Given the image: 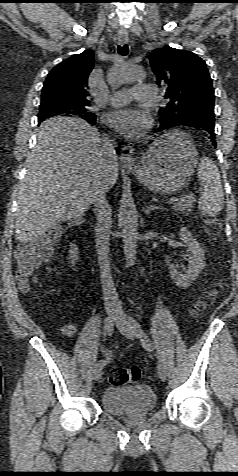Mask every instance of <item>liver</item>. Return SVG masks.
Here are the masks:
<instances>
[{
	"instance_id": "1",
	"label": "liver",
	"mask_w": 238,
	"mask_h": 476,
	"mask_svg": "<svg viewBox=\"0 0 238 476\" xmlns=\"http://www.w3.org/2000/svg\"><path fill=\"white\" fill-rule=\"evenodd\" d=\"M37 136L18 193L15 238L20 243L82 216L106 174L102 139L85 120L53 117L40 125ZM109 178L111 187L118 178V163Z\"/></svg>"
}]
</instances>
